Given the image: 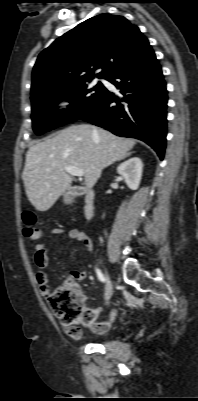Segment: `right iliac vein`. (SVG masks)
<instances>
[{
  "mask_svg": "<svg viewBox=\"0 0 198 401\" xmlns=\"http://www.w3.org/2000/svg\"><path fill=\"white\" fill-rule=\"evenodd\" d=\"M105 289H106V292H105L106 299H110L111 296L113 295V285H112V281L108 274H107V281H106Z\"/></svg>",
  "mask_w": 198,
  "mask_h": 401,
  "instance_id": "63e3f726",
  "label": "right iliac vein"
}]
</instances>
